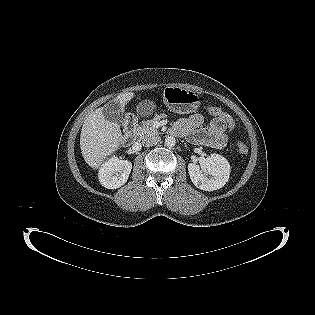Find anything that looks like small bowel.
I'll return each instance as SVG.
<instances>
[{
    "instance_id": "small-bowel-1",
    "label": "small bowel",
    "mask_w": 315,
    "mask_h": 315,
    "mask_svg": "<svg viewBox=\"0 0 315 315\" xmlns=\"http://www.w3.org/2000/svg\"><path fill=\"white\" fill-rule=\"evenodd\" d=\"M203 116L199 113L180 119L173 127L172 133L186 136L194 144L222 149L227 144V125L222 119H213L206 128H202Z\"/></svg>"
}]
</instances>
